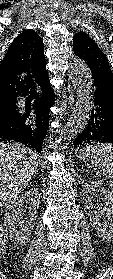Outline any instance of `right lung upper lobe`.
<instances>
[{"label":"right lung upper lobe","instance_id":"right-lung-upper-lobe-1","mask_svg":"<svg viewBox=\"0 0 113 279\" xmlns=\"http://www.w3.org/2000/svg\"><path fill=\"white\" fill-rule=\"evenodd\" d=\"M44 44L32 29L20 33L0 64V109L16 104L18 96L47 74Z\"/></svg>","mask_w":113,"mask_h":279}]
</instances>
